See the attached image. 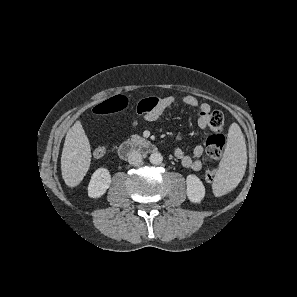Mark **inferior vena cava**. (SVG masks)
Listing matches in <instances>:
<instances>
[{"instance_id":"inferior-vena-cava-1","label":"inferior vena cava","mask_w":297,"mask_h":297,"mask_svg":"<svg viewBox=\"0 0 297 297\" xmlns=\"http://www.w3.org/2000/svg\"><path fill=\"white\" fill-rule=\"evenodd\" d=\"M142 162V155L138 151H132L128 155V163L138 165Z\"/></svg>"}]
</instances>
